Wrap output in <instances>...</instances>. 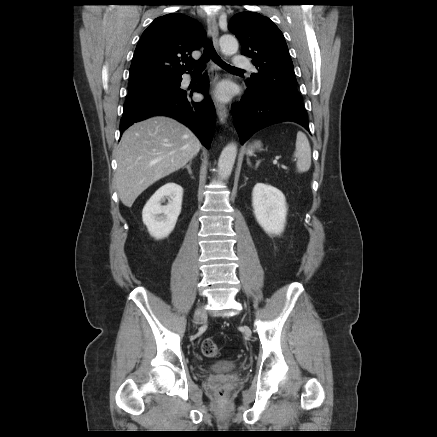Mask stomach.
<instances>
[{
	"instance_id": "0dacf381",
	"label": "stomach",
	"mask_w": 437,
	"mask_h": 437,
	"mask_svg": "<svg viewBox=\"0 0 437 437\" xmlns=\"http://www.w3.org/2000/svg\"><path fill=\"white\" fill-rule=\"evenodd\" d=\"M261 146H262V144L260 141H256V142L250 144L246 150L247 155L251 156L254 154V152L256 150H261Z\"/></svg>"
}]
</instances>
